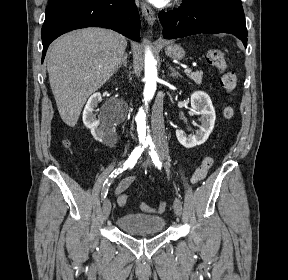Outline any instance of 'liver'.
Here are the masks:
<instances>
[{"label": "liver", "mask_w": 288, "mask_h": 280, "mask_svg": "<svg viewBox=\"0 0 288 280\" xmlns=\"http://www.w3.org/2000/svg\"><path fill=\"white\" fill-rule=\"evenodd\" d=\"M126 47L121 34L97 27L67 33L51 45L49 83L68 126L77 124L88 97L116 71Z\"/></svg>", "instance_id": "1"}]
</instances>
